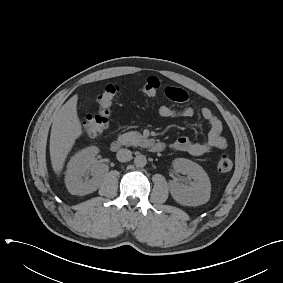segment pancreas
<instances>
[{"label": "pancreas", "mask_w": 283, "mask_h": 283, "mask_svg": "<svg viewBox=\"0 0 283 283\" xmlns=\"http://www.w3.org/2000/svg\"><path fill=\"white\" fill-rule=\"evenodd\" d=\"M118 141L126 146H137L144 144L146 139L139 132L130 131L120 135Z\"/></svg>", "instance_id": "1"}]
</instances>
